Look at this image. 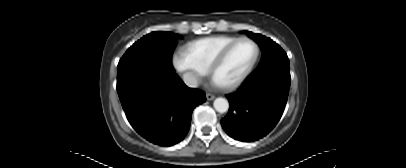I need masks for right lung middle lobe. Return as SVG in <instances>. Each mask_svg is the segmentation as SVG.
<instances>
[{
    "label": "right lung middle lobe",
    "instance_id": "1",
    "mask_svg": "<svg viewBox=\"0 0 406 168\" xmlns=\"http://www.w3.org/2000/svg\"><path fill=\"white\" fill-rule=\"evenodd\" d=\"M177 38L171 32H152L135 42L119 61L117 86L140 77L175 72L171 55Z\"/></svg>",
    "mask_w": 406,
    "mask_h": 168
}]
</instances>
